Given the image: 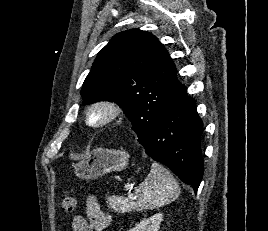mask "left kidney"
<instances>
[{"instance_id": "obj_1", "label": "left kidney", "mask_w": 268, "mask_h": 231, "mask_svg": "<svg viewBox=\"0 0 268 231\" xmlns=\"http://www.w3.org/2000/svg\"><path fill=\"white\" fill-rule=\"evenodd\" d=\"M163 220V214H155L150 218L142 220L140 223L129 231H158L160 223Z\"/></svg>"}]
</instances>
